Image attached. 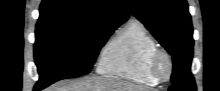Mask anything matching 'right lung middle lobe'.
<instances>
[{
  "label": "right lung middle lobe",
  "mask_w": 220,
  "mask_h": 91,
  "mask_svg": "<svg viewBox=\"0 0 220 91\" xmlns=\"http://www.w3.org/2000/svg\"><path fill=\"white\" fill-rule=\"evenodd\" d=\"M117 27H94L73 23L36 26L35 62L45 86L90 72L99 50Z\"/></svg>",
  "instance_id": "obj_1"
}]
</instances>
